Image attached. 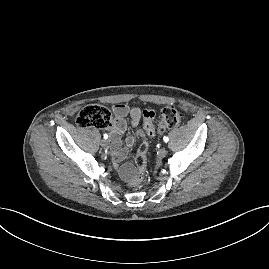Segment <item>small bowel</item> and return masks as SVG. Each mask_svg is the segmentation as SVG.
Instances as JSON below:
<instances>
[{
    "label": "small bowel",
    "instance_id": "c3829d8e",
    "mask_svg": "<svg viewBox=\"0 0 269 269\" xmlns=\"http://www.w3.org/2000/svg\"><path fill=\"white\" fill-rule=\"evenodd\" d=\"M114 120L110 126V148L112 153L113 165L118 168L128 155V148L135 144L133 136H127L125 139L126 147H122L121 137L126 131L127 122L132 126H137L141 119V110L138 107L128 106L125 104H116L113 106ZM135 169L132 165L126 164L120 168L121 177L130 182L131 176Z\"/></svg>",
    "mask_w": 269,
    "mask_h": 269
}]
</instances>
